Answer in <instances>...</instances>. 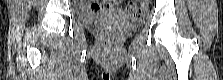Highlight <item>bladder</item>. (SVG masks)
I'll use <instances>...</instances> for the list:
<instances>
[{
	"mask_svg": "<svg viewBox=\"0 0 223 80\" xmlns=\"http://www.w3.org/2000/svg\"><path fill=\"white\" fill-rule=\"evenodd\" d=\"M106 19H118L121 22L124 20V18L122 17V14L116 13V11L114 10H109V11L82 16L80 18V22L84 26H90V25L97 24L98 22L106 20Z\"/></svg>",
	"mask_w": 223,
	"mask_h": 80,
	"instance_id": "1",
	"label": "bladder"
}]
</instances>
